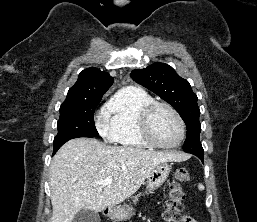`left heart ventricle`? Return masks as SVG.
Returning a JSON list of instances; mask_svg holds the SVG:
<instances>
[{"label":"left heart ventricle","mask_w":257,"mask_h":222,"mask_svg":"<svg viewBox=\"0 0 257 222\" xmlns=\"http://www.w3.org/2000/svg\"><path fill=\"white\" fill-rule=\"evenodd\" d=\"M151 129L155 139L165 145L179 139V125L174 115L166 108H158L151 118Z\"/></svg>","instance_id":"1"}]
</instances>
